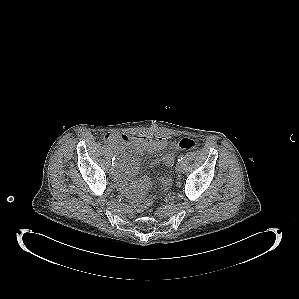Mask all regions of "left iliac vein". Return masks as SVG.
<instances>
[{
	"label": "left iliac vein",
	"instance_id": "4c4485c4",
	"mask_svg": "<svg viewBox=\"0 0 299 299\" xmlns=\"http://www.w3.org/2000/svg\"><path fill=\"white\" fill-rule=\"evenodd\" d=\"M177 172H182L183 170V164L181 162H178L176 165Z\"/></svg>",
	"mask_w": 299,
	"mask_h": 299
}]
</instances>
